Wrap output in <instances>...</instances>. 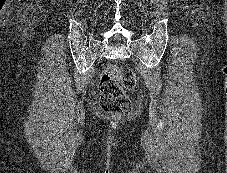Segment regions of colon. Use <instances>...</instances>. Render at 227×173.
Listing matches in <instances>:
<instances>
[{"label":"colon","mask_w":227,"mask_h":173,"mask_svg":"<svg viewBox=\"0 0 227 173\" xmlns=\"http://www.w3.org/2000/svg\"><path fill=\"white\" fill-rule=\"evenodd\" d=\"M136 85V77L132 70L117 66H109L101 77L99 90L100 104L107 112L125 114L131 109V101L126 94Z\"/></svg>","instance_id":"1"}]
</instances>
